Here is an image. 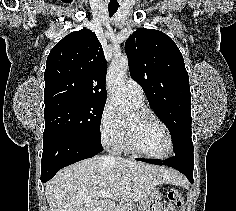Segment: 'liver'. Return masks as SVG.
Here are the masks:
<instances>
[{
  "label": "liver",
  "instance_id": "1",
  "mask_svg": "<svg viewBox=\"0 0 236 211\" xmlns=\"http://www.w3.org/2000/svg\"><path fill=\"white\" fill-rule=\"evenodd\" d=\"M182 182V177L168 168L95 156L58 171L46 184L45 194L50 211H113L115 202L102 199L101 192H109L127 204H143L157 185Z\"/></svg>",
  "mask_w": 236,
  "mask_h": 211
}]
</instances>
